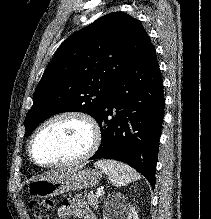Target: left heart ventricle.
I'll use <instances>...</instances> for the list:
<instances>
[{"label": "left heart ventricle", "mask_w": 211, "mask_h": 219, "mask_svg": "<svg viewBox=\"0 0 211 219\" xmlns=\"http://www.w3.org/2000/svg\"><path fill=\"white\" fill-rule=\"evenodd\" d=\"M90 142V131L80 120L63 118L46 127L36 137L33 154L43 164L71 160L81 155Z\"/></svg>", "instance_id": "1"}]
</instances>
